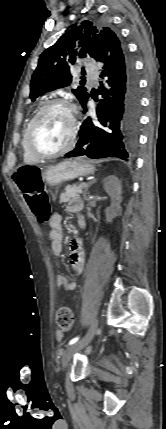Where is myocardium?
Instances as JSON below:
<instances>
[{
	"mask_svg": "<svg viewBox=\"0 0 166 429\" xmlns=\"http://www.w3.org/2000/svg\"><path fill=\"white\" fill-rule=\"evenodd\" d=\"M55 106H63L69 112L70 120H71L69 139H68V142L66 143V145L63 146L58 151L53 152V153H49V154L41 153L37 149H35V147L33 146V141H32L33 135H34V132L36 130V127L38 125L40 118L49 109H51L52 107H55ZM77 128L78 127H77V119H76V110H75V107L73 106V104L65 98L51 99V100L47 101L37 111V113L33 117L32 121L28 127L27 134H26V139H25L26 148H27L28 152L38 160H48V159L56 158L58 156L65 154L66 152H68L73 147V145L75 143L76 135H77Z\"/></svg>",
	"mask_w": 166,
	"mask_h": 429,
	"instance_id": "myocardium-1",
	"label": "myocardium"
}]
</instances>
